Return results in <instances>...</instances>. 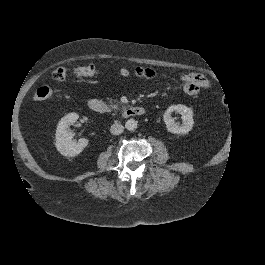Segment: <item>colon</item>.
Wrapping results in <instances>:
<instances>
[{"mask_svg":"<svg viewBox=\"0 0 265 265\" xmlns=\"http://www.w3.org/2000/svg\"><path fill=\"white\" fill-rule=\"evenodd\" d=\"M76 73L82 77H90L95 75L96 69L92 65L82 66L77 68ZM134 74L140 78L150 79L154 76L155 73L149 68L137 67L134 70ZM52 76L57 81H64L68 77V70L65 67H59L53 71ZM54 92L55 91L51 87L43 85L35 90L33 99L35 101H43L52 97Z\"/></svg>","mask_w":265,"mask_h":265,"instance_id":"colon-1","label":"colon"}]
</instances>
